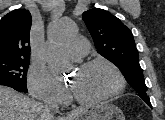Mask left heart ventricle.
Masks as SVG:
<instances>
[{
    "label": "left heart ventricle",
    "instance_id": "1",
    "mask_svg": "<svg viewBox=\"0 0 165 120\" xmlns=\"http://www.w3.org/2000/svg\"><path fill=\"white\" fill-rule=\"evenodd\" d=\"M117 84L114 73L106 66L79 69L72 76L71 88L82 98L96 99L111 92Z\"/></svg>",
    "mask_w": 165,
    "mask_h": 120
}]
</instances>
